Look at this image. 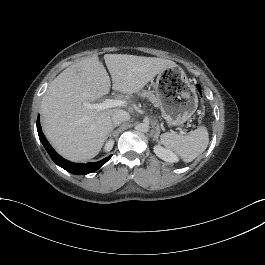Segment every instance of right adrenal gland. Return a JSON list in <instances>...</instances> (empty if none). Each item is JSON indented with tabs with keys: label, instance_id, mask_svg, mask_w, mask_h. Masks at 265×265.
Returning a JSON list of instances; mask_svg holds the SVG:
<instances>
[{
	"label": "right adrenal gland",
	"instance_id": "right-adrenal-gland-1",
	"mask_svg": "<svg viewBox=\"0 0 265 265\" xmlns=\"http://www.w3.org/2000/svg\"><path fill=\"white\" fill-rule=\"evenodd\" d=\"M117 126H119V124H114L113 126H112V129H111V131H113Z\"/></svg>",
	"mask_w": 265,
	"mask_h": 265
}]
</instances>
